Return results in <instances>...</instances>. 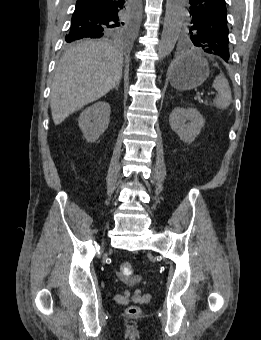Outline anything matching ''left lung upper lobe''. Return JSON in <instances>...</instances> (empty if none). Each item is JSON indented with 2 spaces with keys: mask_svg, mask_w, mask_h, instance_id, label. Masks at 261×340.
<instances>
[{
  "mask_svg": "<svg viewBox=\"0 0 261 340\" xmlns=\"http://www.w3.org/2000/svg\"><path fill=\"white\" fill-rule=\"evenodd\" d=\"M228 33L226 16H192V20L184 30V47L190 49L197 46L226 61L230 58Z\"/></svg>",
  "mask_w": 261,
  "mask_h": 340,
  "instance_id": "5c2ea615",
  "label": "left lung upper lobe"
}]
</instances>
